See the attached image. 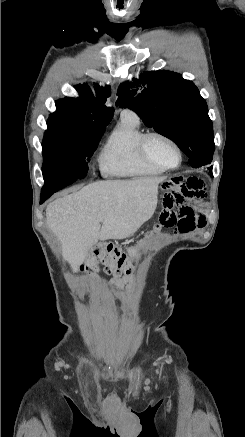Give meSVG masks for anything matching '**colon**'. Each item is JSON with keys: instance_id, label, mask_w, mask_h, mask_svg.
Here are the masks:
<instances>
[{"instance_id": "1", "label": "colon", "mask_w": 245, "mask_h": 437, "mask_svg": "<svg viewBox=\"0 0 245 437\" xmlns=\"http://www.w3.org/2000/svg\"><path fill=\"white\" fill-rule=\"evenodd\" d=\"M163 229V224L157 223L153 230L148 233V236L155 232H160ZM138 254V247L124 251L113 244L101 245L94 251L92 257L84 266L83 271L89 276H94L99 271L100 266H104L107 273L121 276L132 270L133 263L138 257Z\"/></svg>"}]
</instances>
